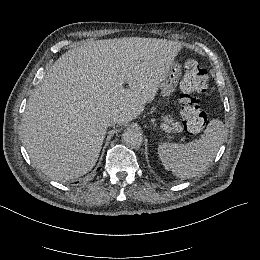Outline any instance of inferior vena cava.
Segmentation results:
<instances>
[{
	"label": "inferior vena cava",
	"instance_id": "obj_1",
	"mask_svg": "<svg viewBox=\"0 0 260 260\" xmlns=\"http://www.w3.org/2000/svg\"><path fill=\"white\" fill-rule=\"evenodd\" d=\"M106 123L108 126H113L117 123V117L114 114L108 115L106 118Z\"/></svg>",
	"mask_w": 260,
	"mask_h": 260
}]
</instances>
